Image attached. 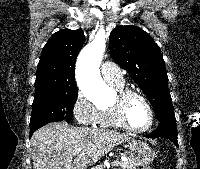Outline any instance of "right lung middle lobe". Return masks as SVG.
I'll return each mask as SVG.
<instances>
[{
    "label": "right lung middle lobe",
    "mask_w": 200,
    "mask_h": 169,
    "mask_svg": "<svg viewBox=\"0 0 200 169\" xmlns=\"http://www.w3.org/2000/svg\"><path fill=\"white\" fill-rule=\"evenodd\" d=\"M77 96L76 86L35 91L30 127L54 121H70Z\"/></svg>",
    "instance_id": "obj_1"
}]
</instances>
